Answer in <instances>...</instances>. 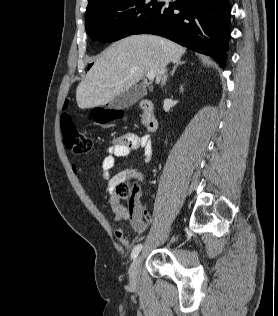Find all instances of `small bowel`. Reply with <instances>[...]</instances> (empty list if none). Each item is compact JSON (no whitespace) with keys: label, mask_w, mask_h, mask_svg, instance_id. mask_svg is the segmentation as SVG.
I'll list each match as a JSON object with an SVG mask.
<instances>
[{"label":"small bowel","mask_w":278,"mask_h":316,"mask_svg":"<svg viewBox=\"0 0 278 316\" xmlns=\"http://www.w3.org/2000/svg\"><path fill=\"white\" fill-rule=\"evenodd\" d=\"M141 150L144 155L145 163H149L152 156V142L148 135H138L135 133H126L120 137L112 140L111 144L105 149V157L102 161V181L107 182V191L113 194L115 188L120 184H125L129 181H143L144 176L137 168H128L116 173L110 177V172L115 166L117 158L127 157L132 151ZM73 171L77 172L78 167L73 166ZM141 192L139 189L133 191V197L129 201L127 210L117 212L114 220L129 221L133 231L136 234H142L147 225L151 223L152 218L149 214L142 215V208L140 205ZM116 238L125 246H130V239L121 227H117L114 231Z\"/></svg>","instance_id":"c3829d8e"}]
</instances>
